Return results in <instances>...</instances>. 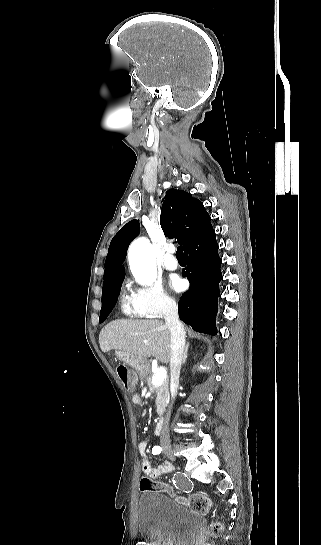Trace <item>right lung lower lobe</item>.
<instances>
[{
	"mask_svg": "<svg viewBox=\"0 0 321 545\" xmlns=\"http://www.w3.org/2000/svg\"><path fill=\"white\" fill-rule=\"evenodd\" d=\"M215 231L210 225L184 249L187 267L182 276L190 281V288L179 300V318L201 333L216 334L218 285L222 279ZM116 298L108 302V315ZM107 315V316H108Z\"/></svg>",
	"mask_w": 321,
	"mask_h": 545,
	"instance_id": "1",
	"label": "right lung lower lobe"
}]
</instances>
